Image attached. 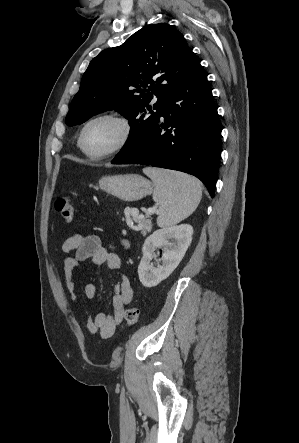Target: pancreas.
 <instances>
[{
	"label": "pancreas",
	"mask_w": 299,
	"mask_h": 443,
	"mask_svg": "<svg viewBox=\"0 0 299 443\" xmlns=\"http://www.w3.org/2000/svg\"><path fill=\"white\" fill-rule=\"evenodd\" d=\"M133 218L137 221L138 226L137 229L141 232L143 236L149 233L152 229L151 219L147 216H140L138 212L133 214Z\"/></svg>",
	"instance_id": "pancreas-1"
}]
</instances>
